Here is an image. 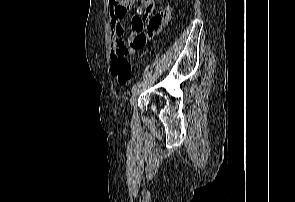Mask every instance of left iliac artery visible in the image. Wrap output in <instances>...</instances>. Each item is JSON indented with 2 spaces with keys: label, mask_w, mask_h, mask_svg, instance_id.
I'll return each instance as SVG.
<instances>
[{
  "label": "left iliac artery",
  "mask_w": 295,
  "mask_h": 202,
  "mask_svg": "<svg viewBox=\"0 0 295 202\" xmlns=\"http://www.w3.org/2000/svg\"><path fill=\"white\" fill-rule=\"evenodd\" d=\"M144 84V81H139L136 84L133 85L132 91L136 90L138 87L142 86Z\"/></svg>",
  "instance_id": "1"
}]
</instances>
